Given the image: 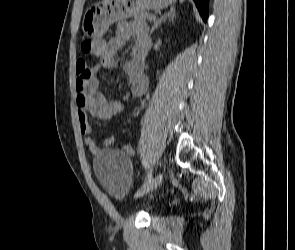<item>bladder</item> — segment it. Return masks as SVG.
Segmentation results:
<instances>
[{
	"label": "bladder",
	"mask_w": 295,
	"mask_h": 250,
	"mask_svg": "<svg viewBox=\"0 0 295 250\" xmlns=\"http://www.w3.org/2000/svg\"><path fill=\"white\" fill-rule=\"evenodd\" d=\"M93 172L112 197L125 199L130 188V159L116 149H105L93 160Z\"/></svg>",
	"instance_id": "1"
}]
</instances>
